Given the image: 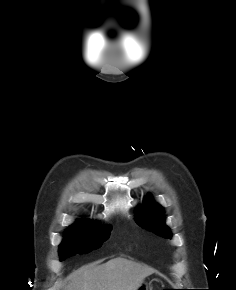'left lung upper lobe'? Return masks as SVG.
I'll list each match as a JSON object with an SVG mask.
<instances>
[{
	"label": "left lung upper lobe",
	"instance_id": "1",
	"mask_svg": "<svg viewBox=\"0 0 236 290\" xmlns=\"http://www.w3.org/2000/svg\"><path fill=\"white\" fill-rule=\"evenodd\" d=\"M136 222L141 227L153 231L165 238H170V229L164 223L163 208L149 198L137 212Z\"/></svg>",
	"mask_w": 236,
	"mask_h": 290
}]
</instances>
